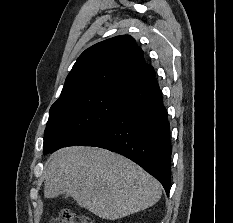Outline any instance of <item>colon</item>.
<instances>
[{"label": "colon", "mask_w": 233, "mask_h": 223, "mask_svg": "<svg viewBox=\"0 0 233 223\" xmlns=\"http://www.w3.org/2000/svg\"><path fill=\"white\" fill-rule=\"evenodd\" d=\"M50 223H94L93 220L75 215L70 209L64 208L58 218H53Z\"/></svg>", "instance_id": "1"}]
</instances>
